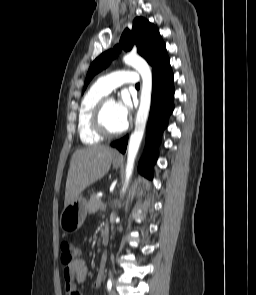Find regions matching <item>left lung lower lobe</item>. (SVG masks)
I'll return each mask as SVG.
<instances>
[{"mask_svg": "<svg viewBox=\"0 0 256 295\" xmlns=\"http://www.w3.org/2000/svg\"><path fill=\"white\" fill-rule=\"evenodd\" d=\"M152 105L147 127V145L139 165V172L144 176L153 178V165L158 157V146L163 130L168 124L169 115L174 109L173 73L170 64L153 72ZM128 136L111 144L120 152L125 153Z\"/></svg>", "mask_w": 256, "mask_h": 295, "instance_id": "0a47b994", "label": "left lung lower lobe"}]
</instances>
